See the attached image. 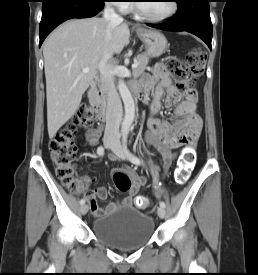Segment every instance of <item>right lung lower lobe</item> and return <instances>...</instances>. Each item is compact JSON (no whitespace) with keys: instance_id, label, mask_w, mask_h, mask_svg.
<instances>
[{"instance_id":"98d812e1","label":"right lung lower lobe","mask_w":258,"mask_h":275,"mask_svg":"<svg viewBox=\"0 0 258 275\" xmlns=\"http://www.w3.org/2000/svg\"><path fill=\"white\" fill-rule=\"evenodd\" d=\"M104 7V0H43L40 42L62 22L72 18L95 16Z\"/></svg>"}]
</instances>
